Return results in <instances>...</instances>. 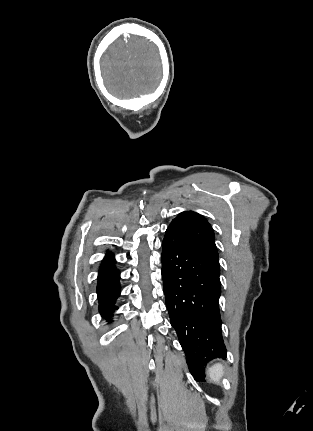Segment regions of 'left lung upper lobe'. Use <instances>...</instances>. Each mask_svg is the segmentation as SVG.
Returning <instances> with one entry per match:
<instances>
[{
	"label": "left lung upper lobe",
	"instance_id": "5c2ea615",
	"mask_svg": "<svg viewBox=\"0 0 313 431\" xmlns=\"http://www.w3.org/2000/svg\"><path fill=\"white\" fill-rule=\"evenodd\" d=\"M168 230L176 232L185 242L218 261L213 229L202 215L193 211H184L172 220Z\"/></svg>",
	"mask_w": 313,
	"mask_h": 431
}]
</instances>
